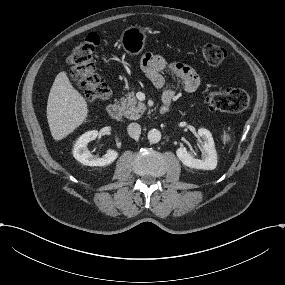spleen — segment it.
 <instances>
[{
    "label": "spleen",
    "instance_id": "obj_1",
    "mask_svg": "<svg viewBox=\"0 0 285 285\" xmlns=\"http://www.w3.org/2000/svg\"><path fill=\"white\" fill-rule=\"evenodd\" d=\"M219 139L224 145H229L232 143L233 136L230 132L224 131L219 135Z\"/></svg>",
    "mask_w": 285,
    "mask_h": 285
}]
</instances>
